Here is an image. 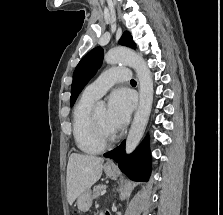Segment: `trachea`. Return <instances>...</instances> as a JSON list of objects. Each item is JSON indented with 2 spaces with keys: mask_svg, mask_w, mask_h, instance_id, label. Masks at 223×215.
I'll return each instance as SVG.
<instances>
[{
  "mask_svg": "<svg viewBox=\"0 0 223 215\" xmlns=\"http://www.w3.org/2000/svg\"><path fill=\"white\" fill-rule=\"evenodd\" d=\"M130 83H136V81L132 79V80L130 81Z\"/></svg>",
  "mask_w": 223,
  "mask_h": 215,
  "instance_id": "3493384b",
  "label": "trachea"
}]
</instances>
